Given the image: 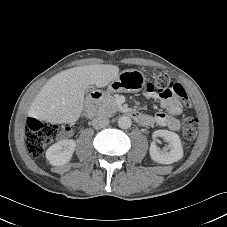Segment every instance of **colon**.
Listing matches in <instances>:
<instances>
[{
	"instance_id": "colon-1",
	"label": "colon",
	"mask_w": 227,
	"mask_h": 227,
	"mask_svg": "<svg viewBox=\"0 0 227 227\" xmlns=\"http://www.w3.org/2000/svg\"><path fill=\"white\" fill-rule=\"evenodd\" d=\"M157 90L170 89L176 94L186 107L191 106L190 99L179 83H173L165 72H156L153 81ZM147 92V91H146ZM60 132V127L56 124L44 122L37 118H28L26 123V147L29 155L33 158L40 157L47 144L52 142ZM198 132V120L187 116L183 120V134L186 139L193 140Z\"/></svg>"
}]
</instances>
